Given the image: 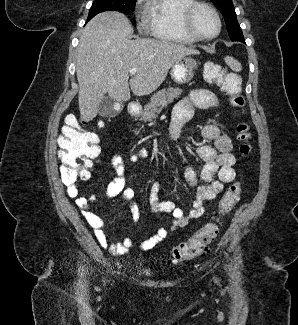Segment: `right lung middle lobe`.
Returning a JSON list of instances; mask_svg holds the SVG:
<instances>
[{"label":"right lung middle lobe","instance_id":"obj_1","mask_svg":"<svg viewBox=\"0 0 298 325\" xmlns=\"http://www.w3.org/2000/svg\"><path fill=\"white\" fill-rule=\"evenodd\" d=\"M136 0H94L87 21L103 11H119L131 13L134 11Z\"/></svg>","mask_w":298,"mask_h":325}]
</instances>
